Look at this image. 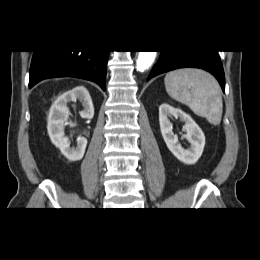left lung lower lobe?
I'll use <instances>...</instances> for the list:
<instances>
[{
	"label": "left lung lower lobe",
	"instance_id": "1",
	"mask_svg": "<svg viewBox=\"0 0 260 260\" xmlns=\"http://www.w3.org/2000/svg\"><path fill=\"white\" fill-rule=\"evenodd\" d=\"M186 67L201 68L210 72L218 80L223 92H225L224 71L220 57L216 50L161 51L159 60L154 65L147 80L161 73Z\"/></svg>",
	"mask_w": 260,
	"mask_h": 260
}]
</instances>
